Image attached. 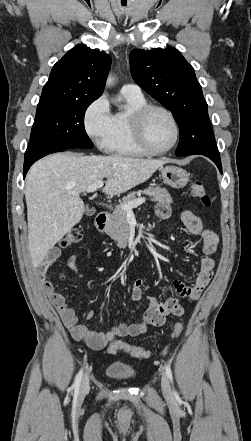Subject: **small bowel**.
Masks as SVG:
<instances>
[{"mask_svg":"<svg viewBox=\"0 0 251 441\" xmlns=\"http://www.w3.org/2000/svg\"><path fill=\"white\" fill-rule=\"evenodd\" d=\"M155 213L159 219L170 217V208L165 203H159L156 206ZM181 220L187 230L193 234L202 237V253L199 271L191 286H187L181 281L173 282L176 292L187 302L196 301L204 289L210 283L213 276L215 262L210 257L217 248L218 236L210 229H204L201 219L189 210H184L181 214ZM60 250L52 249L48 255L36 266V277L43 292L50 299L53 306L57 309L64 325L71 333L72 337L79 342L86 344L93 350H101L108 344H111L118 337H136L145 333L149 327H159L165 323L168 315L181 317L184 314V307L175 297H170L164 301L158 300L154 296H149V305L144 310L142 321L138 323H123L111 327L106 332L88 328L78 323V317L73 308L69 307L66 298L56 291L53 284L46 280L47 269L59 258ZM69 269L77 271V255L73 254L68 259ZM144 278L136 279L131 287V298L134 301H140L143 296ZM93 317V311H89L87 319Z\"/></svg>","mask_w":251,"mask_h":441,"instance_id":"small-bowel-1","label":"small bowel"}]
</instances>
